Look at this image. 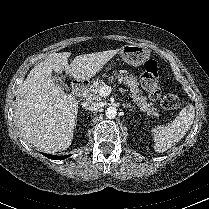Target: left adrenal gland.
I'll list each match as a JSON object with an SVG mask.
<instances>
[{"mask_svg":"<svg viewBox=\"0 0 209 209\" xmlns=\"http://www.w3.org/2000/svg\"><path fill=\"white\" fill-rule=\"evenodd\" d=\"M123 107H124V108H134V106H131L130 103H128V104H123Z\"/></svg>","mask_w":209,"mask_h":209,"instance_id":"a2214340","label":"left adrenal gland"}]
</instances>
